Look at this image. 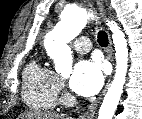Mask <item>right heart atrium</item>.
<instances>
[{"label":"right heart atrium","mask_w":142,"mask_h":119,"mask_svg":"<svg viewBox=\"0 0 142 119\" xmlns=\"http://www.w3.org/2000/svg\"><path fill=\"white\" fill-rule=\"evenodd\" d=\"M63 89V82L59 80V90Z\"/></svg>","instance_id":"obj_1"}]
</instances>
